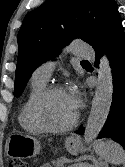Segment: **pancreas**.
Segmentation results:
<instances>
[{
  "mask_svg": "<svg viewBox=\"0 0 125 167\" xmlns=\"http://www.w3.org/2000/svg\"><path fill=\"white\" fill-rule=\"evenodd\" d=\"M65 158L64 157H61V158H58L57 160L55 161H52V164L55 166V167H63L64 165V161Z\"/></svg>",
  "mask_w": 125,
  "mask_h": 167,
  "instance_id": "1",
  "label": "pancreas"
}]
</instances>
